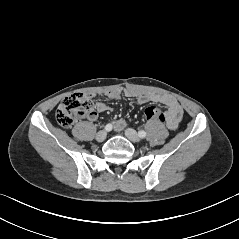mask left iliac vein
<instances>
[{
	"instance_id": "obj_1",
	"label": "left iliac vein",
	"mask_w": 239,
	"mask_h": 239,
	"mask_svg": "<svg viewBox=\"0 0 239 239\" xmlns=\"http://www.w3.org/2000/svg\"><path fill=\"white\" fill-rule=\"evenodd\" d=\"M126 137L132 142H139L140 137L134 129L128 128L125 130Z\"/></svg>"
}]
</instances>
